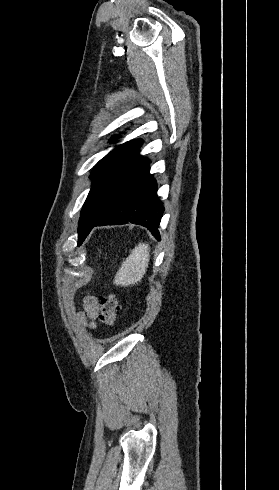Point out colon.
<instances>
[{"label": "colon", "mask_w": 279, "mask_h": 490, "mask_svg": "<svg viewBox=\"0 0 279 490\" xmlns=\"http://www.w3.org/2000/svg\"><path fill=\"white\" fill-rule=\"evenodd\" d=\"M120 303L115 294H106L101 298V307L98 315L100 323L112 326L118 318Z\"/></svg>", "instance_id": "colon-1"}]
</instances>
